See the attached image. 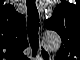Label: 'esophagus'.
<instances>
[{
  "label": "esophagus",
  "mask_w": 80,
  "mask_h": 60,
  "mask_svg": "<svg viewBox=\"0 0 80 60\" xmlns=\"http://www.w3.org/2000/svg\"><path fill=\"white\" fill-rule=\"evenodd\" d=\"M41 46H42L43 49L47 52V49H46L42 44H41ZM42 52H43V50L40 49V54H41V56H43Z\"/></svg>",
  "instance_id": "1"
}]
</instances>
